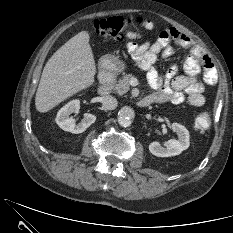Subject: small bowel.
I'll return each instance as SVG.
<instances>
[{
	"mask_svg": "<svg viewBox=\"0 0 233 233\" xmlns=\"http://www.w3.org/2000/svg\"><path fill=\"white\" fill-rule=\"evenodd\" d=\"M142 25L147 30L154 29V24L149 20L143 21ZM127 39L128 52L134 62L147 72L148 82L154 89L148 96L151 103L187 102L194 107L205 104V87L197 80V76L203 72L205 83L213 85L217 81V71L210 57L191 38L170 27L159 31L153 41L138 43L141 35L137 32H128ZM172 42L190 51L184 62V74L177 75V67L173 65L161 76L154 65L159 55L169 56L173 52Z\"/></svg>",
	"mask_w": 233,
	"mask_h": 233,
	"instance_id": "obj_1",
	"label": "small bowel"
}]
</instances>
